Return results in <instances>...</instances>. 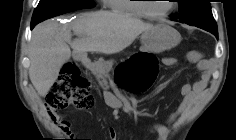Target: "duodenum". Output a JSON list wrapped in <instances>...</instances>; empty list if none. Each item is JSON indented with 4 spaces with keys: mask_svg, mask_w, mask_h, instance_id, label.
Returning a JSON list of instances; mask_svg holds the SVG:
<instances>
[{
    "mask_svg": "<svg viewBox=\"0 0 236 140\" xmlns=\"http://www.w3.org/2000/svg\"><path fill=\"white\" fill-rule=\"evenodd\" d=\"M77 56L81 59L83 56V53H78ZM84 63L87 64L85 61H84Z\"/></svg>",
    "mask_w": 236,
    "mask_h": 140,
    "instance_id": "duodenum-1",
    "label": "duodenum"
}]
</instances>
